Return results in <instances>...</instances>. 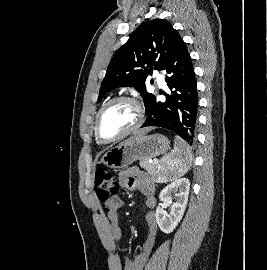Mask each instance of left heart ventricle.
Returning a JSON list of instances; mask_svg holds the SVG:
<instances>
[{"mask_svg": "<svg viewBox=\"0 0 267 270\" xmlns=\"http://www.w3.org/2000/svg\"><path fill=\"white\" fill-rule=\"evenodd\" d=\"M137 121V110L129 102H118L108 107L100 119V132L106 139L115 138L129 130Z\"/></svg>", "mask_w": 267, "mask_h": 270, "instance_id": "1", "label": "left heart ventricle"}]
</instances>
